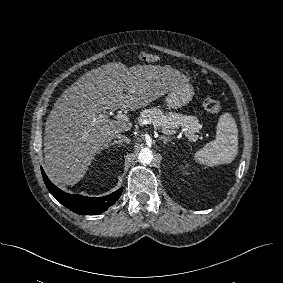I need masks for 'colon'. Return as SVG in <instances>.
<instances>
[{
  "mask_svg": "<svg viewBox=\"0 0 283 283\" xmlns=\"http://www.w3.org/2000/svg\"><path fill=\"white\" fill-rule=\"evenodd\" d=\"M140 58L146 63H153L159 60V57L156 54L149 52H142ZM203 105L205 110L212 114H219L222 110L221 104L217 100L211 98L205 99Z\"/></svg>",
  "mask_w": 283,
  "mask_h": 283,
  "instance_id": "colon-1",
  "label": "colon"
}]
</instances>
